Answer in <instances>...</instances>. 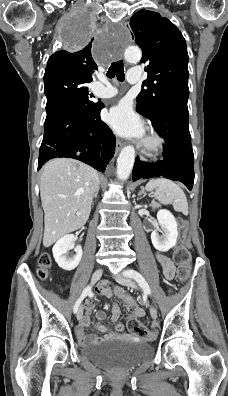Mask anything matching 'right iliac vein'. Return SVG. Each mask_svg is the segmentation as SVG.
<instances>
[{
    "label": "right iliac vein",
    "mask_w": 228,
    "mask_h": 396,
    "mask_svg": "<svg viewBox=\"0 0 228 396\" xmlns=\"http://www.w3.org/2000/svg\"><path fill=\"white\" fill-rule=\"evenodd\" d=\"M103 270L101 268L97 269L94 271L92 278H91V284H95L102 276ZM83 314V307L80 306V308L77 311V319L80 320Z\"/></svg>",
    "instance_id": "right-iliac-vein-1"
}]
</instances>
